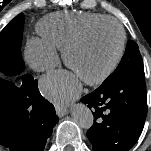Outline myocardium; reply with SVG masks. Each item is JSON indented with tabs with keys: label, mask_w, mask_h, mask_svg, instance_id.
I'll return each instance as SVG.
<instances>
[{
	"label": "myocardium",
	"mask_w": 151,
	"mask_h": 151,
	"mask_svg": "<svg viewBox=\"0 0 151 151\" xmlns=\"http://www.w3.org/2000/svg\"><path fill=\"white\" fill-rule=\"evenodd\" d=\"M108 23L113 24L117 28L119 33V44H118L117 54L114 60L111 62V64L102 73L91 79H87L84 81L86 84L91 86L99 85L104 81H106L115 72V70L121 63L125 52V46H126V33L123 25L113 17H105L99 19L86 26L80 33H78L75 37H73L70 41H68L62 48V56H63L64 63L66 66L71 67L70 60H69L70 52L76 47H78L79 45H81L93 30H95L97 27L103 24H108Z\"/></svg>",
	"instance_id": "1"
}]
</instances>
